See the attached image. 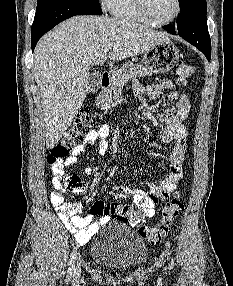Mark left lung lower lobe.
<instances>
[{"instance_id":"obj_1","label":"left lung lower lobe","mask_w":233,"mask_h":286,"mask_svg":"<svg viewBox=\"0 0 233 286\" xmlns=\"http://www.w3.org/2000/svg\"><path fill=\"white\" fill-rule=\"evenodd\" d=\"M207 8L195 12L186 21L176 25H166L163 28L173 35L178 34L183 39L199 49L210 61L211 39L207 27Z\"/></svg>"}]
</instances>
